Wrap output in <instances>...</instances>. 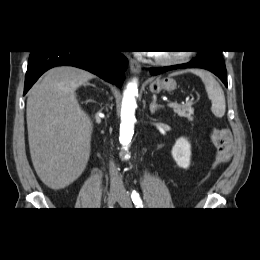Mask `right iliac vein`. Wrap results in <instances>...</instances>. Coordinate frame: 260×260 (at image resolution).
Here are the masks:
<instances>
[{
    "label": "right iliac vein",
    "mask_w": 260,
    "mask_h": 260,
    "mask_svg": "<svg viewBox=\"0 0 260 260\" xmlns=\"http://www.w3.org/2000/svg\"><path fill=\"white\" fill-rule=\"evenodd\" d=\"M121 193L118 191H111L108 195V205H113L120 197Z\"/></svg>",
    "instance_id": "right-iliac-vein-1"
}]
</instances>
